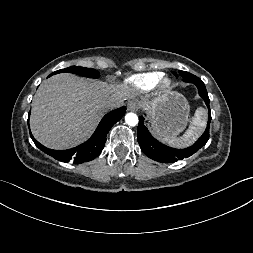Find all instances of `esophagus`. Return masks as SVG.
I'll list each match as a JSON object with an SVG mask.
<instances>
[{"mask_svg": "<svg viewBox=\"0 0 253 253\" xmlns=\"http://www.w3.org/2000/svg\"><path fill=\"white\" fill-rule=\"evenodd\" d=\"M139 107V104L137 101H130L127 105V108L129 111H136Z\"/></svg>", "mask_w": 253, "mask_h": 253, "instance_id": "obj_1", "label": "esophagus"}]
</instances>
